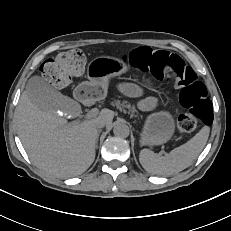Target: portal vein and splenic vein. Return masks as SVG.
<instances>
[{"mask_svg":"<svg viewBox=\"0 0 231 231\" xmlns=\"http://www.w3.org/2000/svg\"><path fill=\"white\" fill-rule=\"evenodd\" d=\"M99 114V110L97 108L91 109L84 117L85 118H93Z\"/></svg>","mask_w":231,"mask_h":231,"instance_id":"18ae733b","label":"portal vein and splenic vein"}]
</instances>
